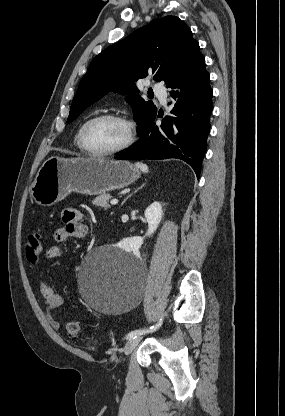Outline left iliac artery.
Instances as JSON below:
<instances>
[{
    "mask_svg": "<svg viewBox=\"0 0 285 416\" xmlns=\"http://www.w3.org/2000/svg\"><path fill=\"white\" fill-rule=\"evenodd\" d=\"M162 324V318L160 319L159 323L156 324V326H151L149 329L145 330V329H138V330H134L131 331L130 333H128L127 335V339H133L136 338L137 336H140L142 334H145L147 332H153L155 331L159 326H161Z\"/></svg>",
    "mask_w": 285,
    "mask_h": 416,
    "instance_id": "44dca946",
    "label": "left iliac artery"
}]
</instances>
